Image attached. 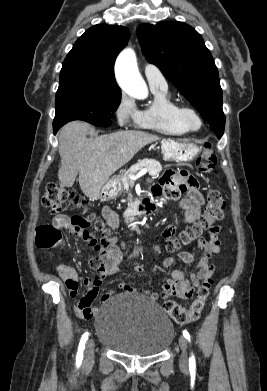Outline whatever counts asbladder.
Returning a JSON list of instances; mask_svg holds the SVG:
<instances>
[{
  "label": "bladder",
  "instance_id": "bladder-1",
  "mask_svg": "<svg viewBox=\"0 0 267 391\" xmlns=\"http://www.w3.org/2000/svg\"><path fill=\"white\" fill-rule=\"evenodd\" d=\"M95 328L101 344L133 356L160 354L174 338L173 323L161 307L130 293L115 295L102 304Z\"/></svg>",
  "mask_w": 267,
  "mask_h": 391
}]
</instances>
